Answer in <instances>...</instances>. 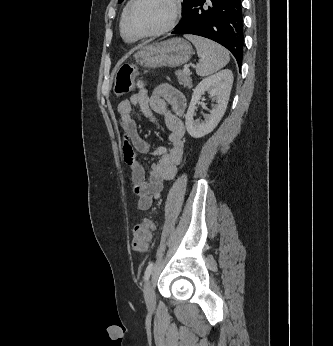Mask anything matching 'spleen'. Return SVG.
<instances>
[{
  "label": "spleen",
  "mask_w": 333,
  "mask_h": 346,
  "mask_svg": "<svg viewBox=\"0 0 333 346\" xmlns=\"http://www.w3.org/2000/svg\"><path fill=\"white\" fill-rule=\"evenodd\" d=\"M186 38L194 44L200 58L196 67L197 75H210L229 62V53L221 45L200 36L187 35Z\"/></svg>",
  "instance_id": "1"
}]
</instances>
